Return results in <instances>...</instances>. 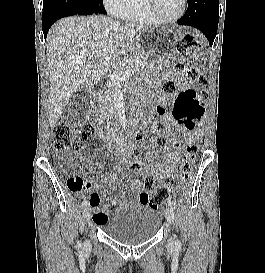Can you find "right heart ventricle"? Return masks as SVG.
Here are the masks:
<instances>
[{"label": "right heart ventricle", "mask_w": 265, "mask_h": 273, "mask_svg": "<svg viewBox=\"0 0 265 273\" xmlns=\"http://www.w3.org/2000/svg\"><path fill=\"white\" fill-rule=\"evenodd\" d=\"M120 17L146 25L157 24L147 12L144 0H130L129 5L120 14Z\"/></svg>", "instance_id": "e07e8e85"}]
</instances>
